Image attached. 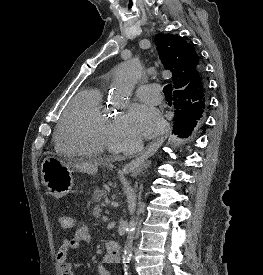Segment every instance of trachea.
<instances>
[{"instance_id":"3493384b","label":"trachea","mask_w":263,"mask_h":275,"mask_svg":"<svg viewBox=\"0 0 263 275\" xmlns=\"http://www.w3.org/2000/svg\"><path fill=\"white\" fill-rule=\"evenodd\" d=\"M163 93L166 98H171L172 97V85L168 84L163 88Z\"/></svg>"}]
</instances>
